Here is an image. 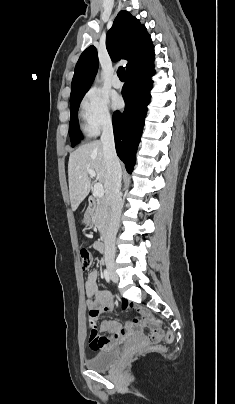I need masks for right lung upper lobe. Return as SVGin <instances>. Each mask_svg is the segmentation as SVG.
<instances>
[{"label":"right lung upper lobe","instance_id":"cb5924a9","mask_svg":"<svg viewBox=\"0 0 235 404\" xmlns=\"http://www.w3.org/2000/svg\"><path fill=\"white\" fill-rule=\"evenodd\" d=\"M106 48L113 61L125 59L126 73L154 60L150 35L144 25L129 12L120 11L106 36ZM98 70V55L89 46L80 56L74 71L70 102L82 99L92 85Z\"/></svg>","mask_w":235,"mask_h":404}]
</instances>
